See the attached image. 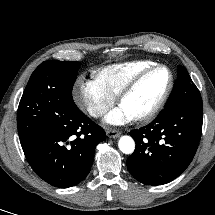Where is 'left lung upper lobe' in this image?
Returning a JSON list of instances; mask_svg holds the SVG:
<instances>
[{"label": "left lung upper lobe", "instance_id": "1", "mask_svg": "<svg viewBox=\"0 0 215 215\" xmlns=\"http://www.w3.org/2000/svg\"><path fill=\"white\" fill-rule=\"evenodd\" d=\"M172 106H189L198 109H202L203 106L198 88L182 66H178V79L165 108Z\"/></svg>", "mask_w": 215, "mask_h": 215}]
</instances>
